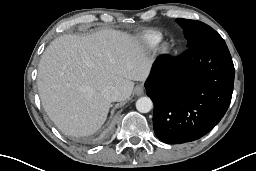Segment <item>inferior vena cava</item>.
<instances>
[{
  "label": "inferior vena cava",
  "mask_w": 256,
  "mask_h": 171,
  "mask_svg": "<svg viewBox=\"0 0 256 171\" xmlns=\"http://www.w3.org/2000/svg\"><path fill=\"white\" fill-rule=\"evenodd\" d=\"M102 95L105 99H107L110 102H114L118 100L119 97V91L114 86H106L102 90Z\"/></svg>",
  "instance_id": "obj_1"
}]
</instances>
